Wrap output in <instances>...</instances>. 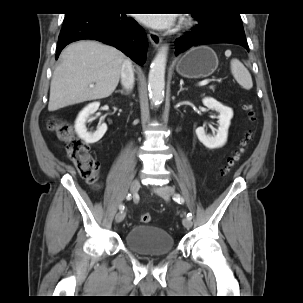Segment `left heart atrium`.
Returning a JSON list of instances; mask_svg holds the SVG:
<instances>
[{
	"instance_id": "obj_1",
	"label": "left heart atrium",
	"mask_w": 303,
	"mask_h": 303,
	"mask_svg": "<svg viewBox=\"0 0 303 303\" xmlns=\"http://www.w3.org/2000/svg\"><path fill=\"white\" fill-rule=\"evenodd\" d=\"M175 14H139L138 19L140 22L153 27V28H166L173 25L175 21Z\"/></svg>"
}]
</instances>
